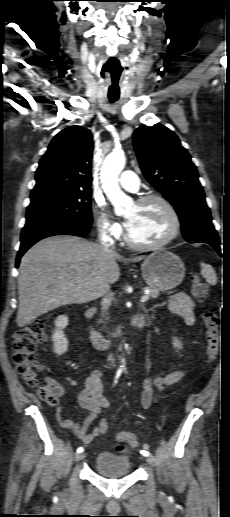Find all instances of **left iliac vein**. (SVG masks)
<instances>
[{"mask_svg": "<svg viewBox=\"0 0 230 517\" xmlns=\"http://www.w3.org/2000/svg\"><path fill=\"white\" fill-rule=\"evenodd\" d=\"M146 461L148 462V464H150L151 466H155V460L152 456H147L146 457Z\"/></svg>", "mask_w": 230, "mask_h": 517, "instance_id": "1", "label": "left iliac vein"}]
</instances>
